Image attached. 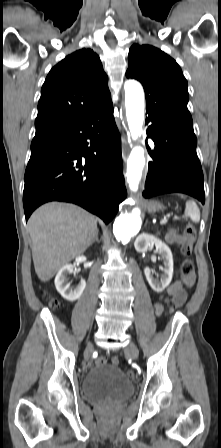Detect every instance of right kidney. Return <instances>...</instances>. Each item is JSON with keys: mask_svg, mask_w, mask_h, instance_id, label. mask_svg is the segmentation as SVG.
Returning a JSON list of instances; mask_svg holds the SVG:
<instances>
[{"mask_svg": "<svg viewBox=\"0 0 221 448\" xmlns=\"http://www.w3.org/2000/svg\"><path fill=\"white\" fill-rule=\"evenodd\" d=\"M75 262L78 263H85L86 257L85 256H79L75 259ZM74 266L72 264H66L64 265L57 273L55 277V287L57 291L60 293V295L68 300V301H75L77 300L83 293L86 282L85 280H81L80 284L76 286L75 288H70V284L68 283L67 275L71 274L73 272Z\"/></svg>", "mask_w": 221, "mask_h": 448, "instance_id": "obj_1", "label": "right kidney"}]
</instances>
